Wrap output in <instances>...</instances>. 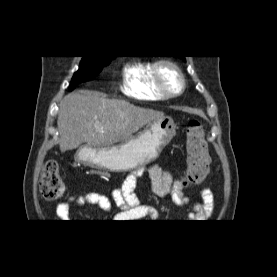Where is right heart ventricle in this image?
<instances>
[{
  "label": "right heart ventricle",
  "mask_w": 277,
  "mask_h": 277,
  "mask_svg": "<svg viewBox=\"0 0 277 277\" xmlns=\"http://www.w3.org/2000/svg\"><path fill=\"white\" fill-rule=\"evenodd\" d=\"M152 66L153 62L149 60H138L128 64L123 70V93L143 101L167 99L155 87Z\"/></svg>",
  "instance_id": "e07e8e85"
}]
</instances>
